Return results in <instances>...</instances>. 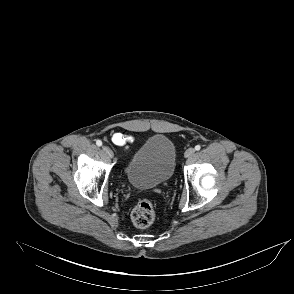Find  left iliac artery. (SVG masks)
<instances>
[{"mask_svg":"<svg viewBox=\"0 0 294 294\" xmlns=\"http://www.w3.org/2000/svg\"><path fill=\"white\" fill-rule=\"evenodd\" d=\"M201 149V146L200 145H196L195 146V150L199 151Z\"/></svg>","mask_w":294,"mask_h":294,"instance_id":"obj_1","label":"left iliac artery"}]
</instances>
